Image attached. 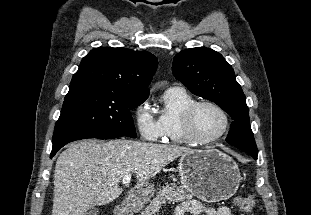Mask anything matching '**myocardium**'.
<instances>
[{
    "mask_svg": "<svg viewBox=\"0 0 311 215\" xmlns=\"http://www.w3.org/2000/svg\"><path fill=\"white\" fill-rule=\"evenodd\" d=\"M202 106H211L217 109L223 117L224 121L223 128L217 135L211 138H201L195 132L194 128L195 114L197 110ZM181 123L183 134L189 143L196 145H208L218 141L220 138L224 136V134L227 132L229 128L230 121L226 110L218 103L210 100H201L193 102L183 111L181 116Z\"/></svg>",
    "mask_w": 311,
    "mask_h": 215,
    "instance_id": "1",
    "label": "myocardium"
}]
</instances>
